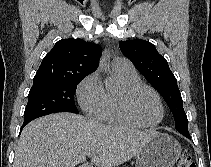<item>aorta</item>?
<instances>
[{
    "label": "aorta",
    "mask_w": 211,
    "mask_h": 167,
    "mask_svg": "<svg viewBox=\"0 0 211 167\" xmlns=\"http://www.w3.org/2000/svg\"><path fill=\"white\" fill-rule=\"evenodd\" d=\"M105 66H106V58L104 57L100 60V67H105Z\"/></svg>",
    "instance_id": "1"
}]
</instances>
